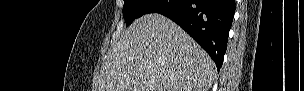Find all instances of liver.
<instances>
[{"label":"liver","instance_id":"liver-1","mask_svg":"<svg viewBox=\"0 0 304 91\" xmlns=\"http://www.w3.org/2000/svg\"><path fill=\"white\" fill-rule=\"evenodd\" d=\"M215 69L180 26L161 14H147L107 52L98 91H208Z\"/></svg>","mask_w":304,"mask_h":91}]
</instances>
